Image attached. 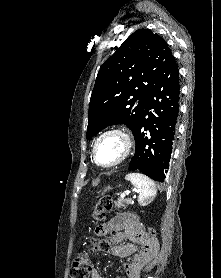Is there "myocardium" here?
Listing matches in <instances>:
<instances>
[{"instance_id": "1", "label": "myocardium", "mask_w": 221, "mask_h": 278, "mask_svg": "<svg viewBox=\"0 0 221 278\" xmlns=\"http://www.w3.org/2000/svg\"><path fill=\"white\" fill-rule=\"evenodd\" d=\"M112 134L118 135L121 137V139L123 140L124 150H123L122 156L116 162L109 164V165H103V164L99 163V161L97 159L96 147L102 138H104L105 136H108V135H112ZM132 147H133V142H132V139H131L130 135L128 134V132H126L125 130H122L120 128H111V129H108V130L102 132L95 139L93 146H92V157H93L95 164L98 165L99 167H102L105 169H112V168H115L118 165L122 164L124 161H126V159L131 154Z\"/></svg>"}]
</instances>
